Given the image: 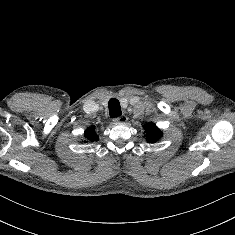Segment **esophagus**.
<instances>
[{"label": "esophagus", "instance_id": "esophagus-1", "mask_svg": "<svg viewBox=\"0 0 235 235\" xmlns=\"http://www.w3.org/2000/svg\"><path fill=\"white\" fill-rule=\"evenodd\" d=\"M128 118L125 115H121L118 117L113 118L114 123H126Z\"/></svg>", "mask_w": 235, "mask_h": 235}]
</instances>
